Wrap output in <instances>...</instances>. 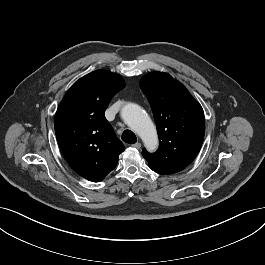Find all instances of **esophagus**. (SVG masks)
<instances>
[{
	"label": "esophagus",
	"instance_id": "34e87169",
	"mask_svg": "<svg viewBox=\"0 0 265 265\" xmlns=\"http://www.w3.org/2000/svg\"><path fill=\"white\" fill-rule=\"evenodd\" d=\"M132 147L135 148V149H140L141 148V143L137 142V143L133 144Z\"/></svg>",
	"mask_w": 265,
	"mask_h": 265
}]
</instances>
